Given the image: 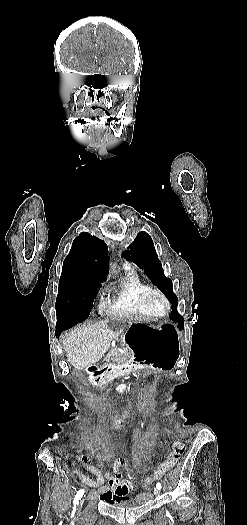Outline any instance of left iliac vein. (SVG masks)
I'll return each mask as SVG.
<instances>
[{"mask_svg": "<svg viewBox=\"0 0 247 525\" xmlns=\"http://www.w3.org/2000/svg\"><path fill=\"white\" fill-rule=\"evenodd\" d=\"M159 493H160L159 489L155 488L154 489V494L157 496V495H159Z\"/></svg>", "mask_w": 247, "mask_h": 525, "instance_id": "4c4485c4", "label": "left iliac vein"}]
</instances>
